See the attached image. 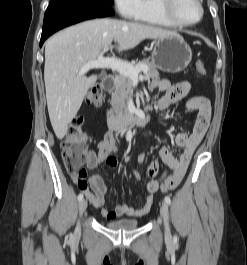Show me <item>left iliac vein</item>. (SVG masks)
<instances>
[{
  "label": "left iliac vein",
  "mask_w": 247,
  "mask_h": 265,
  "mask_svg": "<svg viewBox=\"0 0 247 265\" xmlns=\"http://www.w3.org/2000/svg\"><path fill=\"white\" fill-rule=\"evenodd\" d=\"M160 214L164 221L165 225V234L166 236H170V227H169V214H168V206L166 203H162L160 208Z\"/></svg>",
  "instance_id": "1"
}]
</instances>
